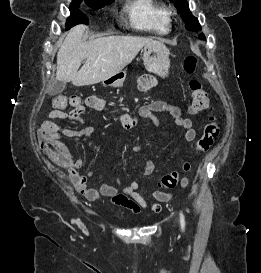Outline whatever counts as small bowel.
<instances>
[{
    "label": "small bowel",
    "instance_id": "1",
    "mask_svg": "<svg viewBox=\"0 0 261 273\" xmlns=\"http://www.w3.org/2000/svg\"><path fill=\"white\" fill-rule=\"evenodd\" d=\"M157 83V78L154 75L145 74L139 80V87L142 91H147L155 87ZM86 105L97 110H109V107L103 100L93 96L86 100ZM164 111L169 112L173 117L175 124L185 130L184 137L187 142L195 140L196 131L193 128L192 121L189 118L183 117L182 111L179 107L169 105L163 101H155L144 105L140 110V114L143 117L149 118L155 126H158V120L153 113ZM48 116L50 119H66L83 124V120L80 117H72L69 112L67 113L64 109L57 107H54V109L49 112ZM117 118L125 129H131L136 125V119L128 113H118ZM43 126L56 134L72 139L87 138L94 130L93 127L85 125H83L79 130L62 128L52 121H46L43 123ZM140 149L141 146L139 145L133 148L135 152ZM65 150L70 158V163L66 165L68 168L69 178L75 190L89 200H99L101 196H105L108 197L114 205L127 208L133 213H139L141 209H147L153 213H159L161 211V203L167 202L171 198V194L163 193L161 191H153L151 197L154 199V202H150L139 193L140 186L136 181H131L125 184L122 192H119L116 187L106 183H101L98 186V189L91 188L87 184L91 172L83 175L77 171L83 166V160L81 158H72L69 151L66 148ZM154 168L155 165L152 160H145L143 163V174L146 176L152 174ZM117 182L121 183L120 178H117ZM187 182V178H184L182 180V185H186Z\"/></svg>",
    "mask_w": 261,
    "mask_h": 273
}]
</instances>
